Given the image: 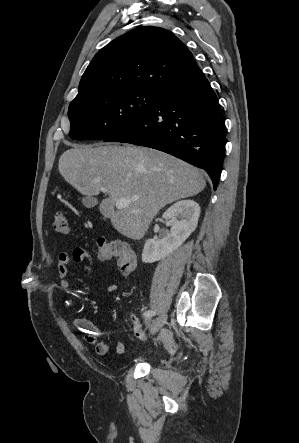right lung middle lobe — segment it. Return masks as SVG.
Returning <instances> with one entry per match:
<instances>
[{
	"label": "right lung middle lobe",
	"mask_w": 299,
	"mask_h": 443,
	"mask_svg": "<svg viewBox=\"0 0 299 443\" xmlns=\"http://www.w3.org/2000/svg\"><path fill=\"white\" fill-rule=\"evenodd\" d=\"M159 91H107L69 106L72 139H105L146 114L158 101Z\"/></svg>",
	"instance_id": "right-lung-middle-lobe-1"
}]
</instances>
